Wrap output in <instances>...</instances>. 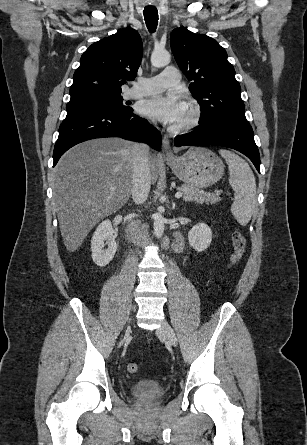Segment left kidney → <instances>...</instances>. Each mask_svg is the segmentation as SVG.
<instances>
[{"mask_svg":"<svg viewBox=\"0 0 307 445\" xmlns=\"http://www.w3.org/2000/svg\"><path fill=\"white\" fill-rule=\"evenodd\" d=\"M188 239L192 249L202 253V251L208 249L212 241V231L205 223H198L189 231Z\"/></svg>","mask_w":307,"mask_h":445,"instance_id":"obj_1","label":"left kidney"}]
</instances>
